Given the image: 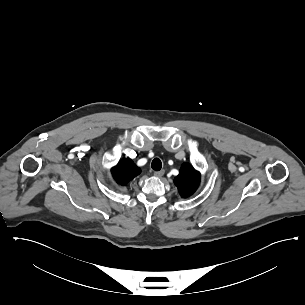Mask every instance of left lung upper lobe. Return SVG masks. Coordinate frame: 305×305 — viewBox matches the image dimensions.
I'll list each match as a JSON object with an SVG mask.
<instances>
[{
  "label": "left lung upper lobe",
  "mask_w": 305,
  "mask_h": 305,
  "mask_svg": "<svg viewBox=\"0 0 305 305\" xmlns=\"http://www.w3.org/2000/svg\"><path fill=\"white\" fill-rule=\"evenodd\" d=\"M174 183L177 186L181 197L187 198L198 188L200 173L189 163H184L180 168L179 175L175 177Z\"/></svg>",
  "instance_id": "left-lung-upper-lobe-1"
}]
</instances>
